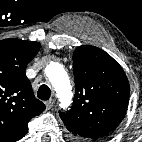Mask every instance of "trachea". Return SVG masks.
<instances>
[{"instance_id":"3493384b","label":"trachea","mask_w":142,"mask_h":142,"mask_svg":"<svg viewBox=\"0 0 142 142\" xmlns=\"http://www.w3.org/2000/svg\"><path fill=\"white\" fill-rule=\"evenodd\" d=\"M50 96H51L50 88L45 84L41 85L37 91V97L41 100H48Z\"/></svg>"}]
</instances>
